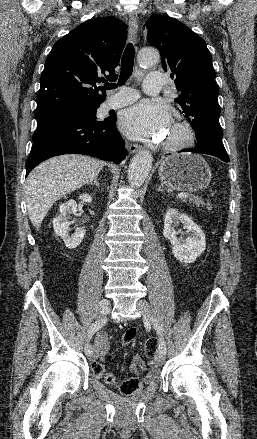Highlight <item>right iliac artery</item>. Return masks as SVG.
Returning a JSON list of instances; mask_svg holds the SVG:
<instances>
[{
	"label": "right iliac artery",
	"instance_id": "82829eb1",
	"mask_svg": "<svg viewBox=\"0 0 257 439\" xmlns=\"http://www.w3.org/2000/svg\"><path fill=\"white\" fill-rule=\"evenodd\" d=\"M107 319L106 318H102L99 320H96L88 329L87 332V339H86V344H85V353L86 355H90L93 351H92V346L90 344V340L93 337V335L99 330L101 329L105 323H106Z\"/></svg>",
	"mask_w": 257,
	"mask_h": 439
}]
</instances>
